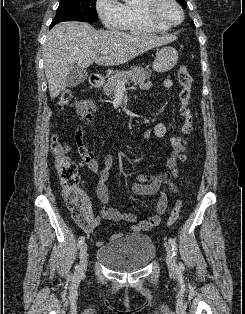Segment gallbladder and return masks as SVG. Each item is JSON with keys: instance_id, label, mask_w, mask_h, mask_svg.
I'll use <instances>...</instances> for the list:
<instances>
[{"instance_id": "gallbladder-1", "label": "gallbladder", "mask_w": 245, "mask_h": 314, "mask_svg": "<svg viewBox=\"0 0 245 314\" xmlns=\"http://www.w3.org/2000/svg\"><path fill=\"white\" fill-rule=\"evenodd\" d=\"M88 77L86 69L74 66L69 72L66 78V84L68 87H75L83 83Z\"/></svg>"}]
</instances>
